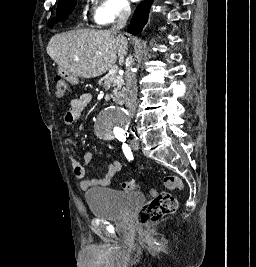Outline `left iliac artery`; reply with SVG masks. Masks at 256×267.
I'll return each mask as SVG.
<instances>
[{
    "mask_svg": "<svg viewBox=\"0 0 256 267\" xmlns=\"http://www.w3.org/2000/svg\"><path fill=\"white\" fill-rule=\"evenodd\" d=\"M122 148H123V152H124L126 158H127L129 161L132 160V159H133V155H132V152H131L130 147H128L127 144H123V147H122Z\"/></svg>",
    "mask_w": 256,
    "mask_h": 267,
    "instance_id": "left-iliac-artery-1",
    "label": "left iliac artery"
}]
</instances>
